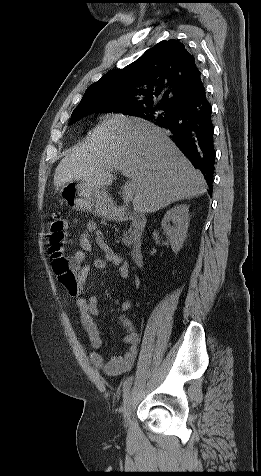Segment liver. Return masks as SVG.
<instances>
[{"label": "liver", "mask_w": 261, "mask_h": 476, "mask_svg": "<svg viewBox=\"0 0 261 476\" xmlns=\"http://www.w3.org/2000/svg\"><path fill=\"white\" fill-rule=\"evenodd\" d=\"M113 170L129 178L134 210L143 214L207 191L202 173L164 129L147 120L122 115L96 126L60 161L54 185L59 188L85 181L105 188L113 182Z\"/></svg>", "instance_id": "liver-1"}]
</instances>
